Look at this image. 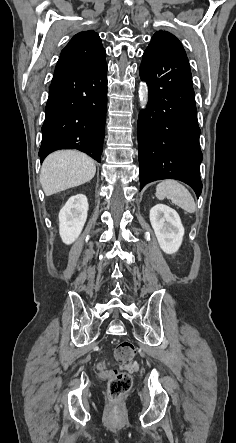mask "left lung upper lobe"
Masks as SVG:
<instances>
[{
	"label": "left lung upper lobe",
	"instance_id": "1",
	"mask_svg": "<svg viewBox=\"0 0 236 443\" xmlns=\"http://www.w3.org/2000/svg\"><path fill=\"white\" fill-rule=\"evenodd\" d=\"M148 50H155L161 53L186 56L181 42L169 32L157 31L149 43Z\"/></svg>",
	"mask_w": 236,
	"mask_h": 443
}]
</instances>
